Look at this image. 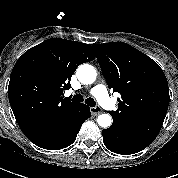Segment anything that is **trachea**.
I'll return each instance as SVG.
<instances>
[{
  "label": "trachea",
  "instance_id": "trachea-1",
  "mask_svg": "<svg viewBox=\"0 0 178 178\" xmlns=\"http://www.w3.org/2000/svg\"><path fill=\"white\" fill-rule=\"evenodd\" d=\"M72 101H74V102H82L83 101V96L81 94H77V95L73 96ZM85 102L90 107H95L96 106V102L94 101L93 98H87L85 100Z\"/></svg>",
  "mask_w": 178,
  "mask_h": 178
}]
</instances>
